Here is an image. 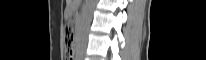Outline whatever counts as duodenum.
Segmentation results:
<instances>
[{"label": "duodenum", "mask_w": 206, "mask_h": 60, "mask_svg": "<svg viewBox=\"0 0 206 60\" xmlns=\"http://www.w3.org/2000/svg\"><path fill=\"white\" fill-rule=\"evenodd\" d=\"M77 33H78V34H83V33H84V30H83V29H78V30H77Z\"/></svg>", "instance_id": "410a0bca"}]
</instances>
